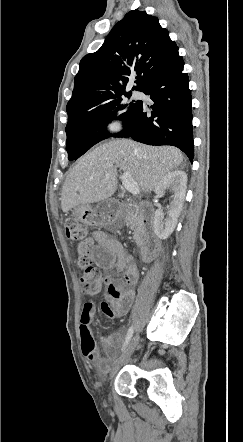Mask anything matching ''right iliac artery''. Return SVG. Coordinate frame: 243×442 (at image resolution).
Here are the masks:
<instances>
[{
	"instance_id": "right-iliac-artery-1",
	"label": "right iliac artery",
	"mask_w": 243,
	"mask_h": 442,
	"mask_svg": "<svg viewBox=\"0 0 243 442\" xmlns=\"http://www.w3.org/2000/svg\"><path fill=\"white\" fill-rule=\"evenodd\" d=\"M133 326H131L129 329H128V332H127V335H126V338H125V342H124V345H123V348H122V351L123 350H125V348L127 347V345H128V343H129V341H130V339H131V337H132V335H133Z\"/></svg>"
}]
</instances>
